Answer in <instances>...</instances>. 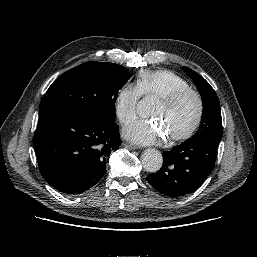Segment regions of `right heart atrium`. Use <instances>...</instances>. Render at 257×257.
<instances>
[{
	"mask_svg": "<svg viewBox=\"0 0 257 257\" xmlns=\"http://www.w3.org/2000/svg\"><path fill=\"white\" fill-rule=\"evenodd\" d=\"M142 96L140 88L133 83L125 84L115 99V112L122 124L132 122L137 116V106Z\"/></svg>",
	"mask_w": 257,
	"mask_h": 257,
	"instance_id": "d8ad5b80",
	"label": "right heart atrium"
}]
</instances>
